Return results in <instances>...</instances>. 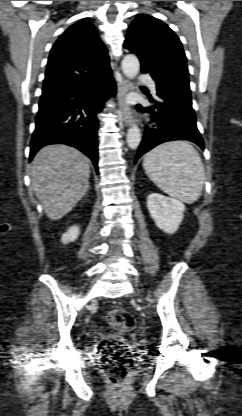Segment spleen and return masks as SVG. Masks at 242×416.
I'll use <instances>...</instances> for the list:
<instances>
[{
	"label": "spleen",
	"mask_w": 242,
	"mask_h": 416,
	"mask_svg": "<svg viewBox=\"0 0 242 416\" xmlns=\"http://www.w3.org/2000/svg\"><path fill=\"white\" fill-rule=\"evenodd\" d=\"M143 168L150 180L166 194L185 203L201 196L205 172L197 150L186 141H170L149 151Z\"/></svg>",
	"instance_id": "spleen-1"
}]
</instances>
